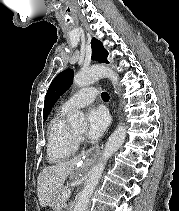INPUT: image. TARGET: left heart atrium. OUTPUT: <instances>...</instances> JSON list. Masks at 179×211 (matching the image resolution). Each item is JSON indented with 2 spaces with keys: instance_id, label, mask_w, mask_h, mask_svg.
Here are the masks:
<instances>
[{
  "instance_id": "1",
  "label": "left heart atrium",
  "mask_w": 179,
  "mask_h": 211,
  "mask_svg": "<svg viewBox=\"0 0 179 211\" xmlns=\"http://www.w3.org/2000/svg\"><path fill=\"white\" fill-rule=\"evenodd\" d=\"M109 125V115L103 108L92 109L87 116L86 135L91 140L99 139Z\"/></svg>"
}]
</instances>
